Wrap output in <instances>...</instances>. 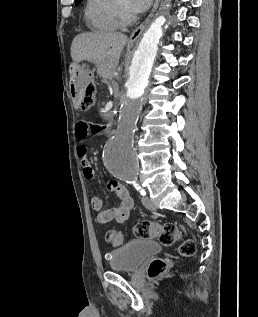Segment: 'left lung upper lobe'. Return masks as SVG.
Segmentation results:
<instances>
[{"label":"left lung upper lobe","mask_w":258,"mask_h":317,"mask_svg":"<svg viewBox=\"0 0 258 317\" xmlns=\"http://www.w3.org/2000/svg\"><path fill=\"white\" fill-rule=\"evenodd\" d=\"M82 0H75V5H78Z\"/></svg>","instance_id":"1"}]
</instances>
